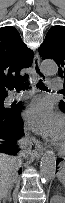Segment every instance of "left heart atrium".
I'll return each mask as SVG.
<instances>
[{"instance_id": "1", "label": "left heart atrium", "mask_w": 65, "mask_h": 203, "mask_svg": "<svg viewBox=\"0 0 65 203\" xmlns=\"http://www.w3.org/2000/svg\"><path fill=\"white\" fill-rule=\"evenodd\" d=\"M27 126L41 135L59 140L64 134L65 121L61 114L55 112L50 103L38 101L24 113Z\"/></svg>"}]
</instances>
